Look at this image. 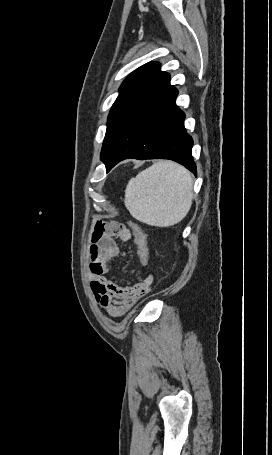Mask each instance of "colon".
<instances>
[{
	"label": "colon",
	"mask_w": 272,
	"mask_h": 455,
	"mask_svg": "<svg viewBox=\"0 0 272 455\" xmlns=\"http://www.w3.org/2000/svg\"><path fill=\"white\" fill-rule=\"evenodd\" d=\"M137 248V256L140 262V266L143 270H146L149 264V249L147 244V236L143 231L142 227L135 222H128Z\"/></svg>",
	"instance_id": "5ec220e1"
}]
</instances>
